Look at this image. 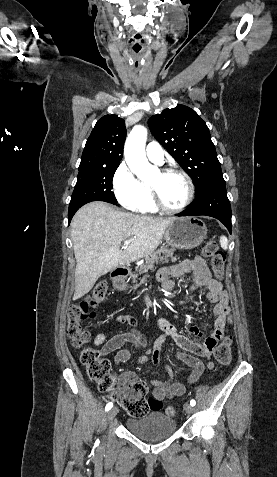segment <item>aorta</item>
<instances>
[{"label":"aorta","instance_id":"762f6f07","mask_svg":"<svg viewBox=\"0 0 277 477\" xmlns=\"http://www.w3.org/2000/svg\"><path fill=\"white\" fill-rule=\"evenodd\" d=\"M147 129L136 125L128 135L124 147L125 160L131 171L143 181L149 180L158 172V168L152 166L145 154Z\"/></svg>","mask_w":277,"mask_h":477}]
</instances>
